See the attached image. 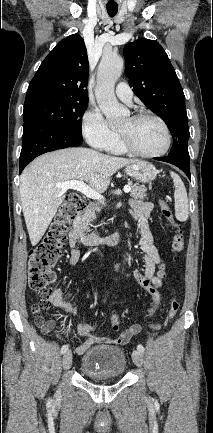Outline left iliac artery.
Segmentation results:
<instances>
[{
  "label": "left iliac artery",
  "instance_id": "44dca946",
  "mask_svg": "<svg viewBox=\"0 0 213 433\" xmlns=\"http://www.w3.org/2000/svg\"><path fill=\"white\" fill-rule=\"evenodd\" d=\"M137 349L140 351V352H144V347H143V345H141V344H139L138 346H137Z\"/></svg>",
  "mask_w": 213,
  "mask_h": 433
}]
</instances>
